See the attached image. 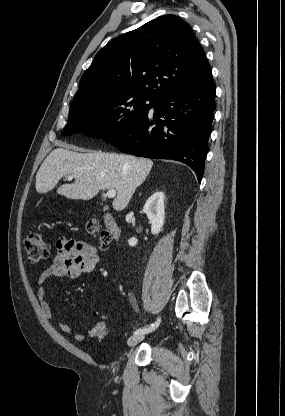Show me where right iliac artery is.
<instances>
[{
    "label": "right iliac artery",
    "mask_w": 285,
    "mask_h": 416,
    "mask_svg": "<svg viewBox=\"0 0 285 416\" xmlns=\"http://www.w3.org/2000/svg\"><path fill=\"white\" fill-rule=\"evenodd\" d=\"M160 321H161V319L159 317L156 322H154L150 325H147L143 328H139L136 331H134V334H144V333L152 332L153 330H155L159 326Z\"/></svg>",
    "instance_id": "obj_1"
}]
</instances>
